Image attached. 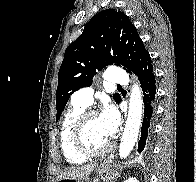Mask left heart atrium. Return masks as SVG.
<instances>
[{
  "label": "left heart atrium",
  "mask_w": 196,
  "mask_h": 182,
  "mask_svg": "<svg viewBox=\"0 0 196 182\" xmlns=\"http://www.w3.org/2000/svg\"><path fill=\"white\" fill-rule=\"evenodd\" d=\"M118 123V114L113 108H106L100 115V124L109 138L115 134Z\"/></svg>",
  "instance_id": "left-heart-atrium-1"
}]
</instances>
